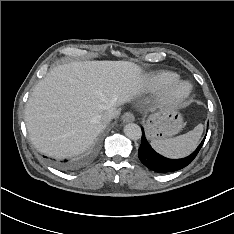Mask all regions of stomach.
Returning <instances> with one entry per match:
<instances>
[{
    "label": "stomach",
    "mask_w": 234,
    "mask_h": 234,
    "mask_svg": "<svg viewBox=\"0 0 234 234\" xmlns=\"http://www.w3.org/2000/svg\"><path fill=\"white\" fill-rule=\"evenodd\" d=\"M145 127L150 139H167L182 130L183 117L175 108H161L148 116Z\"/></svg>",
    "instance_id": "1"
}]
</instances>
